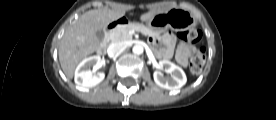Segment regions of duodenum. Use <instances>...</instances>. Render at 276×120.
I'll list each match as a JSON object with an SVG mask.
<instances>
[{
	"mask_svg": "<svg viewBox=\"0 0 276 120\" xmlns=\"http://www.w3.org/2000/svg\"><path fill=\"white\" fill-rule=\"evenodd\" d=\"M127 24V20L125 18H119L111 23H109L106 28H105V31H104V37H103V41L98 49V51L102 54H104L107 50V46H108V43L111 39V36H112V33L113 31L120 27V26H124Z\"/></svg>",
	"mask_w": 276,
	"mask_h": 120,
	"instance_id": "duodenum-1",
	"label": "duodenum"
}]
</instances>
